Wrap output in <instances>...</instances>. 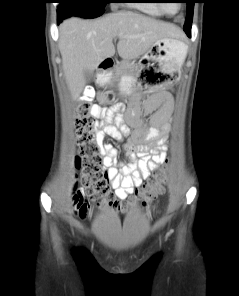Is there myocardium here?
<instances>
[{
  "label": "myocardium",
  "mask_w": 239,
  "mask_h": 296,
  "mask_svg": "<svg viewBox=\"0 0 239 296\" xmlns=\"http://www.w3.org/2000/svg\"><path fill=\"white\" fill-rule=\"evenodd\" d=\"M156 1H158V6H159L160 10H161L163 13H165V14H169V15L173 14L172 12H170V11L166 8L165 4L162 3L161 0H156ZM180 6H181V4L178 3V9L180 8Z\"/></svg>",
  "instance_id": "obj_1"
}]
</instances>
